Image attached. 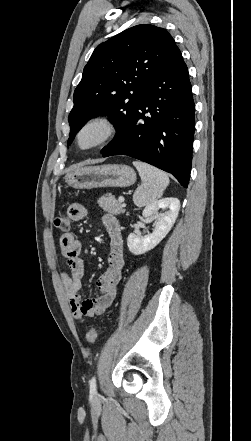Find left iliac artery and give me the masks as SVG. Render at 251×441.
<instances>
[{"label":"left iliac artery","instance_id":"44dca946","mask_svg":"<svg viewBox=\"0 0 251 441\" xmlns=\"http://www.w3.org/2000/svg\"><path fill=\"white\" fill-rule=\"evenodd\" d=\"M90 393L95 394L96 393V378L93 377L90 380Z\"/></svg>","mask_w":251,"mask_h":441}]
</instances>
